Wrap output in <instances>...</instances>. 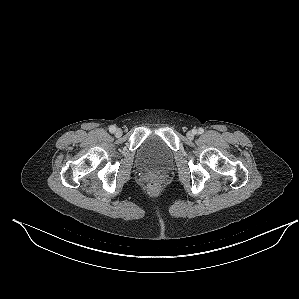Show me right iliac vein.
Here are the masks:
<instances>
[{
  "label": "right iliac vein",
  "instance_id": "1",
  "mask_svg": "<svg viewBox=\"0 0 299 299\" xmlns=\"http://www.w3.org/2000/svg\"><path fill=\"white\" fill-rule=\"evenodd\" d=\"M122 130L120 128H118L116 131H115V135L116 137H121L122 136Z\"/></svg>",
  "mask_w": 299,
  "mask_h": 299
}]
</instances>
